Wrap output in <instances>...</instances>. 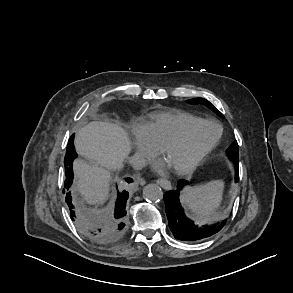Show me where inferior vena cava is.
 Listing matches in <instances>:
<instances>
[{"instance_id": "inferior-vena-cava-1", "label": "inferior vena cava", "mask_w": 293, "mask_h": 293, "mask_svg": "<svg viewBox=\"0 0 293 293\" xmlns=\"http://www.w3.org/2000/svg\"><path fill=\"white\" fill-rule=\"evenodd\" d=\"M130 164L134 169L140 170L146 165V160L141 155L135 154L129 159Z\"/></svg>"}]
</instances>
